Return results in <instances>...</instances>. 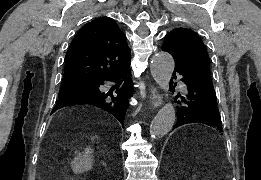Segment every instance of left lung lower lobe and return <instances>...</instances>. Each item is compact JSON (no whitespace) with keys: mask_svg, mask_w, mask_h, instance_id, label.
<instances>
[{"mask_svg":"<svg viewBox=\"0 0 261 180\" xmlns=\"http://www.w3.org/2000/svg\"><path fill=\"white\" fill-rule=\"evenodd\" d=\"M176 75L181 76L185 87L183 93H179L175 99L179 106L177 108V122L174 127L177 128L189 123H203L222 131V122L213 85L180 65H175L173 78H176Z\"/></svg>","mask_w":261,"mask_h":180,"instance_id":"0a47b994","label":"left lung lower lobe"}]
</instances>
